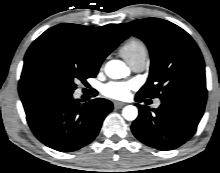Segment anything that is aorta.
Instances as JSON below:
<instances>
[{
	"label": "aorta",
	"instance_id": "1",
	"mask_svg": "<svg viewBox=\"0 0 220 173\" xmlns=\"http://www.w3.org/2000/svg\"><path fill=\"white\" fill-rule=\"evenodd\" d=\"M105 72L112 79H120L127 75V67L122 61L111 60L106 64ZM123 117L128 121H133L138 116V110L133 105L124 107L122 111Z\"/></svg>",
	"mask_w": 220,
	"mask_h": 173
}]
</instances>
